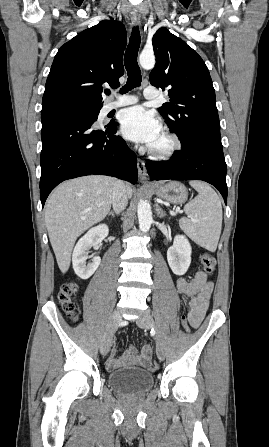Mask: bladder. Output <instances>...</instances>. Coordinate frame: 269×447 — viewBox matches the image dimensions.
I'll return each instance as SVG.
<instances>
[{"instance_id": "1", "label": "bladder", "mask_w": 269, "mask_h": 447, "mask_svg": "<svg viewBox=\"0 0 269 447\" xmlns=\"http://www.w3.org/2000/svg\"><path fill=\"white\" fill-rule=\"evenodd\" d=\"M108 384L123 397L143 396L154 387V374L136 367L120 368L109 372Z\"/></svg>"}]
</instances>
